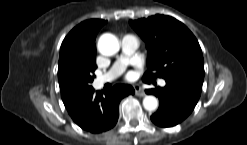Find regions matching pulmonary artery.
<instances>
[{"instance_id":"pulmonary-artery-1","label":"pulmonary artery","mask_w":247,"mask_h":145,"mask_svg":"<svg viewBox=\"0 0 247 145\" xmlns=\"http://www.w3.org/2000/svg\"><path fill=\"white\" fill-rule=\"evenodd\" d=\"M138 47L139 40L136 36L132 34L123 35L121 37L122 55L120 59L109 73L102 75L96 79L97 85H102L106 82L111 81L118 73H120L123 68L124 62L129 58L131 54H133L136 51ZM159 84L161 86H165V80H160Z\"/></svg>"}]
</instances>
